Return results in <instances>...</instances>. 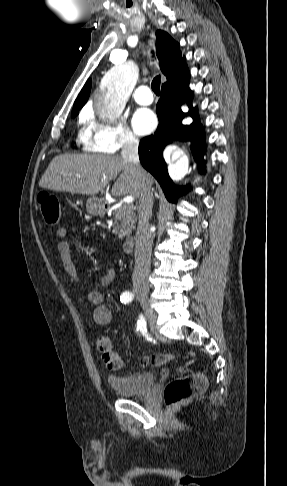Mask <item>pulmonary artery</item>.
Segmentation results:
<instances>
[{
    "label": "pulmonary artery",
    "mask_w": 287,
    "mask_h": 486,
    "mask_svg": "<svg viewBox=\"0 0 287 486\" xmlns=\"http://www.w3.org/2000/svg\"><path fill=\"white\" fill-rule=\"evenodd\" d=\"M134 99L138 104L150 105L153 102V95L148 86H139L134 93Z\"/></svg>",
    "instance_id": "obj_1"
}]
</instances>
